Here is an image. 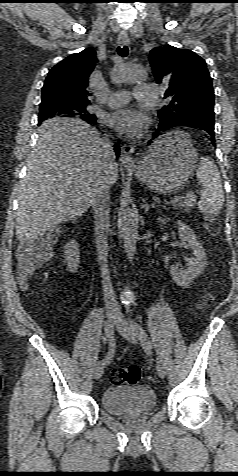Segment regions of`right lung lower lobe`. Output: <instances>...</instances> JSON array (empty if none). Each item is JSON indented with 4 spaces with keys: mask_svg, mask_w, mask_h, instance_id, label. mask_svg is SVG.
I'll use <instances>...</instances> for the list:
<instances>
[{
    "mask_svg": "<svg viewBox=\"0 0 238 476\" xmlns=\"http://www.w3.org/2000/svg\"><path fill=\"white\" fill-rule=\"evenodd\" d=\"M40 123H41V122H39V124H40ZM90 124H93V123H90ZM114 150H115V152H116V156H119L120 151H119V146H118V144H116V145L114 146Z\"/></svg>",
    "mask_w": 238,
    "mask_h": 476,
    "instance_id": "98d812e1",
    "label": "right lung lower lobe"
}]
</instances>
